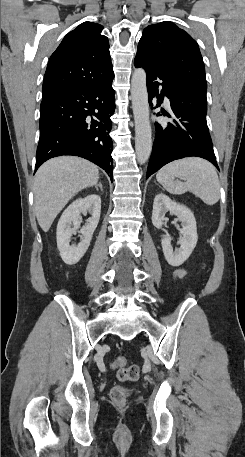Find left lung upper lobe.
Returning a JSON list of instances; mask_svg holds the SVG:
<instances>
[{
  "label": "left lung upper lobe",
  "mask_w": 245,
  "mask_h": 457,
  "mask_svg": "<svg viewBox=\"0 0 245 457\" xmlns=\"http://www.w3.org/2000/svg\"><path fill=\"white\" fill-rule=\"evenodd\" d=\"M136 56L160 64L184 85V96L207 104L205 67L199 47L174 23L165 21L147 26Z\"/></svg>",
  "instance_id": "5c2ea615"
}]
</instances>
